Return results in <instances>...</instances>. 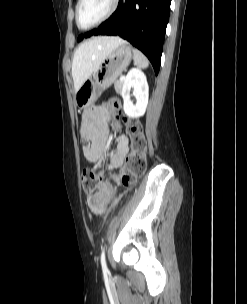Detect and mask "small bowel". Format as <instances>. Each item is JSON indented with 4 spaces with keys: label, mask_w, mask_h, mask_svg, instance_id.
Segmentation results:
<instances>
[{
    "label": "small bowel",
    "mask_w": 247,
    "mask_h": 304,
    "mask_svg": "<svg viewBox=\"0 0 247 304\" xmlns=\"http://www.w3.org/2000/svg\"><path fill=\"white\" fill-rule=\"evenodd\" d=\"M109 110L103 106H95L85 111L81 127V136L84 142L83 154L87 161L96 163L104 156V147L108 139L107 120ZM129 152V140L120 135L117 139L116 149L109 154V170L122 165Z\"/></svg>",
    "instance_id": "1"
}]
</instances>
